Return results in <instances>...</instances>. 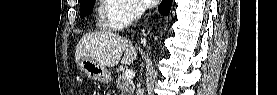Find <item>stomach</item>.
<instances>
[{
	"instance_id": "0dacf381",
	"label": "stomach",
	"mask_w": 277,
	"mask_h": 95,
	"mask_svg": "<svg viewBox=\"0 0 277 95\" xmlns=\"http://www.w3.org/2000/svg\"><path fill=\"white\" fill-rule=\"evenodd\" d=\"M78 70L88 78L101 82L109 83L111 81L110 71L91 58H81L76 62Z\"/></svg>"
}]
</instances>
